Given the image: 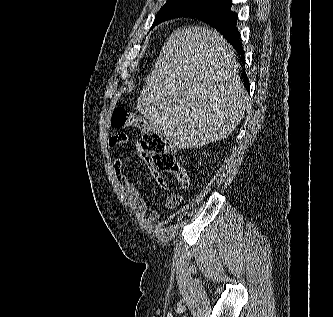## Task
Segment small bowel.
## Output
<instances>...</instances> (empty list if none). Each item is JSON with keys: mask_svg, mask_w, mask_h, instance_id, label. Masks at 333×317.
<instances>
[{"mask_svg": "<svg viewBox=\"0 0 333 317\" xmlns=\"http://www.w3.org/2000/svg\"><path fill=\"white\" fill-rule=\"evenodd\" d=\"M128 141V137L124 133H116L113 135L108 142L109 148L122 147ZM135 151L136 155L145 160L148 167L151 169L152 176L154 177L157 185L163 189L167 190V182L164 177L157 172L149 159L142 146L135 142ZM114 173L115 178L127 199L129 205L131 206L133 212L140 217L148 219L150 222H155L160 218V214L156 211H149L148 206L144 199L141 197L140 190L138 186L129 181L126 175L123 172V160L121 157H118L114 162ZM182 201V197L179 194H171L166 199V206L170 209L177 207Z\"/></svg>", "mask_w": 333, "mask_h": 317, "instance_id": "c3829d8e", "label": "small bowel"}]
</instances>
